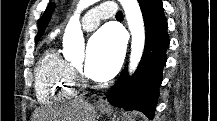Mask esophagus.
I'll return each mask as SVG.
<instances>
[{"label": "esophagus", "instance_id": "1", "mask_svg": "<svg viewBox=\"0 0 217 121\" xmlns=\"http://www.w3.org/2000/svg\"><path fill=\"white\" fill-rule=\"evenodd\" d=\"M97 105L98 106H107L108 105V100L106 98V96H101L98 101H97Z\"/></svg>", "mask_w": 217, "mask_h": 121}]
</instances>
